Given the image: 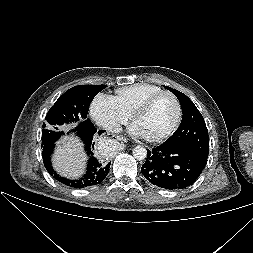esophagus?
Masks as SVG:
<instances>
[{
  "label": "esophagus",
  "mask_w": 253,
  "mask_h": 253,
  "mask_svg": "<svg viewBox=\"0 0 253 253\" xmlns=\"http://www.w3.org/2000/svg\"><path fill=\"white\" fill-rule=\"evenodd\" d=\"M116 140H117V141H123L124 138H123L122 136H116Z\"/></svg>",
  "instance_id": "34e87169"
}]
</instances>
